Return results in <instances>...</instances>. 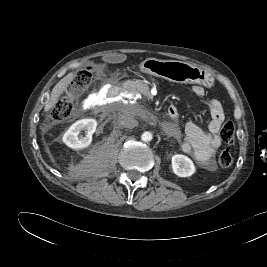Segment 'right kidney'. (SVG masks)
Returning a JSON list of instances; mask_svg holds the SVG:
<instances>
[{"label":"right kidney","mask_w":267,"mask_h":267,"mask_svg":"<svg viewBox=\"0 0 267 267\" xmlns=\"http://www.w3.org/2000/svg\"><path fill=\"white\" fill-rule=\"evenodd\" d=\"M97 127V121L92 118L76 121L63 135V142L72 149H82L88 147L92 142V135ZM82 130H87L85 137H78Z\"/></svg>","instance_id":"obj_1"}]
</instances>
